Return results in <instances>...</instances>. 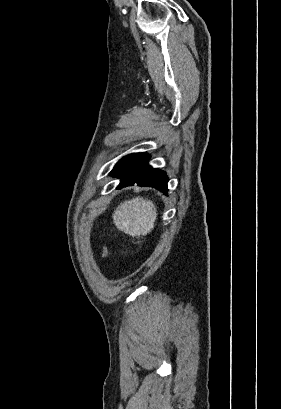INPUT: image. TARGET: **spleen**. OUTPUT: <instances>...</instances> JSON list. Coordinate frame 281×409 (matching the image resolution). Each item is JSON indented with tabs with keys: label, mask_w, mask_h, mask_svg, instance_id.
<instances>
[{
	"label": "spleen",
	"mask_w": 281,
	"mask_h": 409,
	"mask_svg": "<svg viewBox=\"0 0 281 409\" xmlns=\"http://www.w3.org/2000/svg\"><path fill=\"white\" fill-rule=\"evenodd\" d=\"M157 211L152 200L135 196L132 200L120 202L112 219L115 227L130 237H145L155 227Z\"/></svg>",
	"instance_id": "3e777b00"
}]
</instances>
